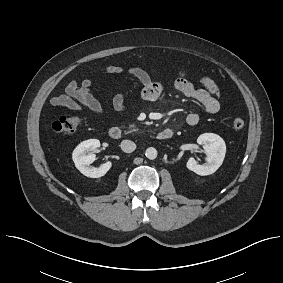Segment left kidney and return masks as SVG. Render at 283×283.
<instances>
[{"instance_id": "obj_1", "label": "left kidney", "mask_w": 283, "mask_h": 283, "mask_svg": "<svg viewBox=\"0 0 283 283\" xmlns=\"http://www.w3.org/2000/svg\"><path fill=\"white\" fill-rule=\"evenodd\" d=\"M197 143L203 146L207 162L200 165L193 157H190L186 164L187 168L201 176L213 174L222 165L225 158L226 144L224 140L217 134L204 133L198 137Z\"/></svg>"}]
</instances>
